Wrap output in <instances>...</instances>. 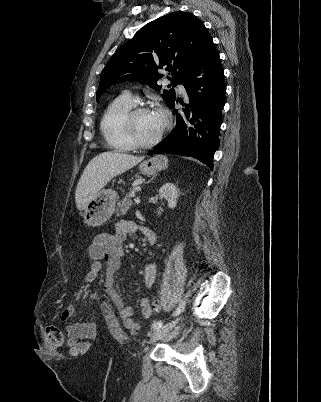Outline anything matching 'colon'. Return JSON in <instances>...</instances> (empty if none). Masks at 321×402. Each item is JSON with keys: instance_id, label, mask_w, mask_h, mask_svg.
<instances>
[{"instance_id": "5ec220e1", "label": "colon", "mask_w": 321, "mask_h": 402, "mask_svg": "<svg viewBox=\"0 0 321 402\" xmlns=\"http://www.w3.org/2000/svg\"><path fill=\"white\" fill-rule=\"evenodd\" d=\"M162 309V302L158 299H154L151 305V310L159 312ZM65 336L62 330L53 324L45 326L42 336V344L45 349L57 350L64 345Z\"/></svg>"}]
</instances>
